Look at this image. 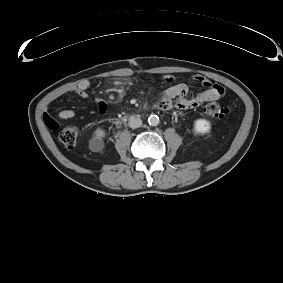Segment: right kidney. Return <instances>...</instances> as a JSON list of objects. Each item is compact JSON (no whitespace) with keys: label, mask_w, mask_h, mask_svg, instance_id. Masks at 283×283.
Wrapping results in <instances>:
<instances>
[{"label":"right kidney","mask_w":283,"mask_h":283,"mask_svg":"<svg viewBox=\"0 0 283 283\" xmlns=\"http://www.w3.org/2000/svg\"><path fill=\"white\" fill-rule=\"evenodd\" d=\"M105 135H106L105 130L102 128H98L94 133V138L103 139Z\"/></svg>","instance_id":"ca27d5eb"}]
</instances>
